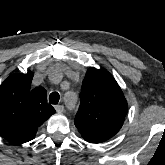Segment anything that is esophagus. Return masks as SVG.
Here are the masks:
<instances>
[{
    "label": "esophagus",
    "instance_id": "esophagus-1",
    "mask_svg": "<svg viewBox=\"0 0 165 165\" xmlns=\"http://www.w3.org/2000/svg\"><path fill=\"white\" fill-rule=\"evenodd\" d=\"M55 110L58 112V113H62L64 111V106L63 105H56L55 106Z\"/></svg>",
    "mask_w": 165,
    "mask_h": 165
}]
</instances>
